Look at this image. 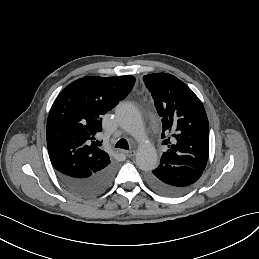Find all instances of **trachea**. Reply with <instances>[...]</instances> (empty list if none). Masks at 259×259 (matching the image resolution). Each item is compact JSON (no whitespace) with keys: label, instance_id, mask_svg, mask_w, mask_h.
I'll use <instances>...</instances> for the list:
<instances>
[{"label":"trachea","instance_id":"trachea-1","mask_svg":"<svg viewBox=\"0 0 259 259\" xmlns=\"http://www.w3.org/2000/svg\"><path fill=\"white\" fill-rule=\"evenodd\" d=\"M116 148H122V149H125V150H129V145H128V142L125 140V139H120L116 145H115Z\"/></svg>","mask_w":259,"mask_h":259}]
</instances>
